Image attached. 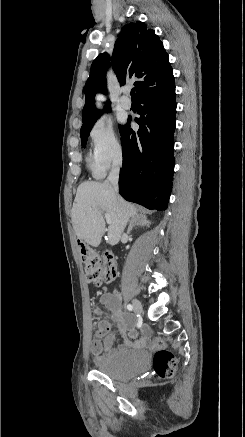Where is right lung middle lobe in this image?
I'll return each instance as SVG.
<instances>
[{
  "label": "right lung middle lobe",
  "instance_id": "dd1d6c3e",
  "mask_svg": "<svg viewBox=\"0 0 245 437\" xmlns=\"http://www.w3.org/2000/svg\"><path fill=\"white\" fill-rule=\"evenodd\" d=\"M95 122H96V120L91 122V123H89V124H87V125H85V126L81 127L80 136H81V142H82V146L83 147L86 145L88 135H89L90 130L92 129V127H93ZM121 127L122 126L119 125V128H121Z\"/></svg>",
  "mask_w": 245,
  "mask_h": 437
}]
</instances>
